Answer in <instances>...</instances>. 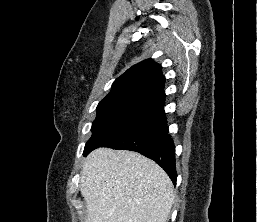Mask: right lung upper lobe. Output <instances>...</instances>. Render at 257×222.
<instances>
[{
    "label": "right lung upper lobe",
    "instance_id": "cb5924a9",
    "mask_svg": "<svg viewBox=\"0 0 257 222\" xmlns=\"http://www.w3.org/2000/svg\"><path fill=\"white\" fill-rule=\"evenodd\" d=\"M165 77L162 67L152 59L144 60L118 77L109 94L102 101L138 99L163 107Z\"/></svg>",
    "mask_w": 257,
    "mask_h": 222
}]
</instances>
